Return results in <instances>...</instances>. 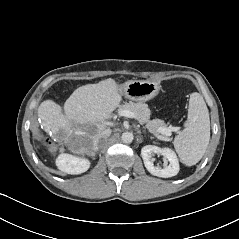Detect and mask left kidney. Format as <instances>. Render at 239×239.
<instances>
[{
    "label": "left kidney",
    "mask_w": 239,
    "mask_h": 239,
    "mask_svg": "<svg viewBox=\"0 0 239 239\" xmlns=\"http://www.w3.org/2000/svg\"><path fill=\"white\" fill-rule=\"evenodd\" d=\"M158 154L169 162L163 168L154 165L153 155ZM141 156L146 169L154 176L168 178L178 174L179 162L175 152L169 148H159L153 145H146L141 150Z\"/></svg>",
    "instance_id": "left-kidney-1"
}]
</instances>
